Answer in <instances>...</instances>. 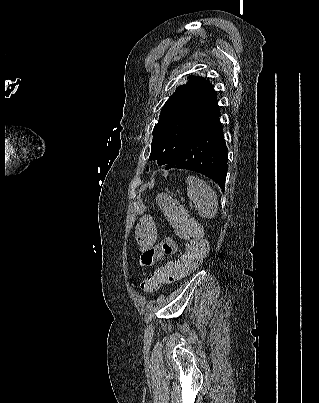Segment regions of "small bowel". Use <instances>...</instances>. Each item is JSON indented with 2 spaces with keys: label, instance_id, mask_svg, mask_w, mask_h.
Listing matches in <instances>:
<instances>
[{
  "label": "small bowel",
  "instance_id": "1",
  "mask_svg": "<svg viewBox=\"0 0 319 403\" xmlns=\"http://www.w3.org/2000/svg\"><path fill=\"white\" fill-rule=\"evenodd\" d=\"M177 250L178 247L174 240L172 238H166L159 246L153 247L151 249H146L145 252L141 255V258L145 264H156L159 259L165 256H171L175 254ZM186 275L187 274L182 275L181 277H184Z\"/></svg>",
  "mask_w": 319,
  "mask_h": 403
}]
</instances>
